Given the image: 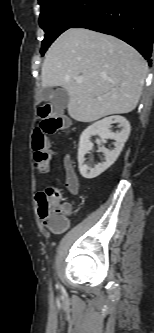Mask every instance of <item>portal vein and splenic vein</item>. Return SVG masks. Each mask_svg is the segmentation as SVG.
<instances>
[{
    "mask_svg": "<svg viewBox=\"0 0 154 333\" xmlns=\"http://www.w3.org/2000/svg\"><path fill=\"white\" fill-rule=\"evenodd\" d=\"M76 82L80 84V83H82V79L81 78H77ZM98 99H100V98H98Z\"/></svg>",
    "mask_w": 154,
    "mask_h": 333,
    "instance_id": "18ae733b",
    "label": "portal vein and splenic vein"
}]
</instances>
